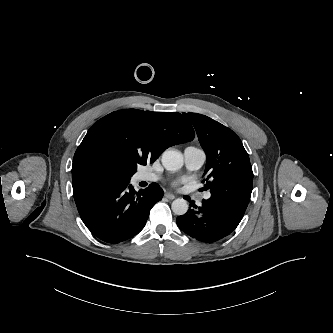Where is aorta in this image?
Wrapping results in <instances>:
<instances>
[{
  "label": "aorta",
  "instance_id": "1",
  "mask_svg": "<svg viewBox=\"0 0 333 333\" xmlns=\"http://www.w3.org/2000/svg\"><path fill=\"white\" fill-rule=\"evenodd\" d=\"M161 162L166 170L174 172L182 167L183 156L178 150L169 149L163 152ZM171 209L176 215H184L188 210L187 201L183 198L175 199Z\"/></svg>",
  "mask_w": 333,
  "mask_h": 333
}]
</instances>
